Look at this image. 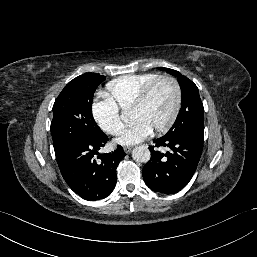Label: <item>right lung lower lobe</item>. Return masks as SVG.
I'll return each mask as SVG.
<instances>
[{"label":"right lung lower lobe","mask_w":257,"mask_h":257,"mask_svg":"<svg viewBox=\"0 0 257 257\" xmlns=\"http://www.w3.org/2000/svg\"><path fill=\"white\" fill-rule=\"evenodd\" d=\"M107 141L108 137L104 134L94 142L70 143L55 152L66 183L85 200L103 199L116 185V168L126 154L121 146L112 153L99 154L98 150Z\"/></svg>","instance_id":"1"}]
</instances>
